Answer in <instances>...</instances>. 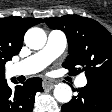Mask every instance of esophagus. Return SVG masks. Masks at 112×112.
Here are the masks:
<instances>
[{
    "label": "esophagus",
    "instance_id": "obj_1",
    "mask_svg": "<svg viewBox=\"0 0 112 112\" xmlns=\"http://www.w3.org/2000/svg\"><path fill=\"white\" fill-rule=\"evenodd\" d=\"M56 84V81H53V80H44L43 81V84H42V86H43V88L44 89H52L53 87H54V85Z\"/></svg>",
    "mask_w": 112,
    "mask_h": 112
}]
</instances>
